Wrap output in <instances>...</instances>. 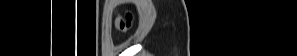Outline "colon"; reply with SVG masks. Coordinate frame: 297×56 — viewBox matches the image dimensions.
<instances>
[{
	"label": "colon",
	"instance_id": "colon-1",
	"mask_svg": "<svg viewBox=\"0 0 297 56\" xmlns=\"http://www.w3.org/2000/svg\"><path fill=\"white\" fill-rule=\"evenodd\" d=\"M131 20H132V16L130 13H127L125 15V17H120L118 20H117V27L122 30V31H125L127 30L130 25H131Z\"/></svg>",
	"mask_w": 297,
	"mask_h": 56
}]
</instances>
